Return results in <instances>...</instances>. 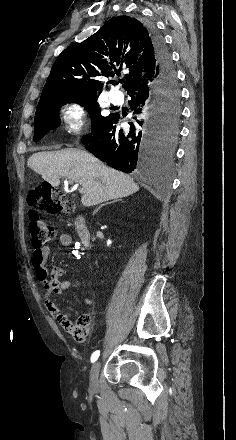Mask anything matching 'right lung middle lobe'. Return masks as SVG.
I'll list each match as a JSON object with an SVG mask.
<instances>
[{
	"label": "right lung middle lobe",
	"instance_id": "obj_1",
	"mask_svg": "<svg viewBox=\"0 0 236 440\" xmlns=\"http://www.w3.org/2000/svg\"><path fill=\"white\" fill-rule=\"evenodd\" d=\"M155 91L160 99L166 102L163 112L161 130L158 133L159 144L163 147L159 162L168 159L174 148V141L178 133V119L180 115V91L176 83L159 85ZM70 102L79 103L90 112L92 129L97 127L108 116L101 114L94 93H71L47 97L39 101L34 119V141H39L47 132L60 125L59 108Z\"/></svg>",
	"mask_w": 236,
	"mask_h": 440
}]
</instances>
